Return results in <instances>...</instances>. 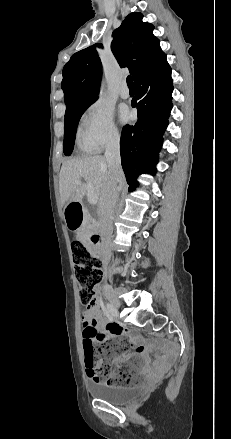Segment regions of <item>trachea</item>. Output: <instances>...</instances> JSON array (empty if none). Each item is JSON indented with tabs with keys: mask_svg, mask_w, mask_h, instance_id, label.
I'll use <instances>...</instances> for the list:
<instances>
[{
	"mask_svg": "<svg viewBox=\"0 0 231 439\" xmlns=\"http://www.w3.org/2000/svg\"><path fill=\"white\" fill-rule=\"evenodd\" d=\"M126 81H127L128 87H134V83H133L132 77L130 75L127 76Z\"/></svg>",
	"mask_w": 231,
	"mask_h": 439,
	"instance_id": "1",
	"label": "trachea"
}]
</instances>
